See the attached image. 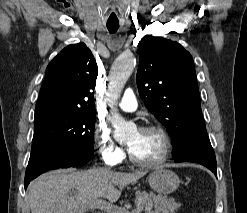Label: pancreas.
I'll return each mask as SVG.
<instances>
[{"mask_svg":"<svg viewBox=\"0 0 247 213\" xmlns=\"http://www.w3.org/2000/svg\"><path fill=\"white\" fill-rule=\"evenodd\" d=\"M135 204L142 209H154L155 213H175L181 206L173 198L146 191L136 192Z\"/></svg>","mask_w":247,"mask_h":213,"instance_id":"obj_1","label":"pancreas"}]
</instances>
